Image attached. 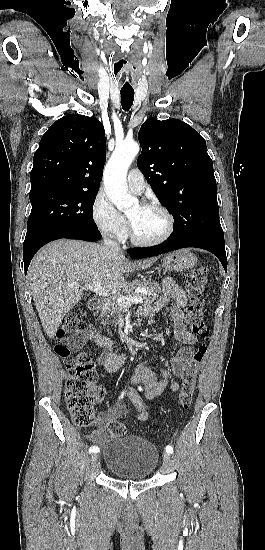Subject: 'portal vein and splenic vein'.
Masks as SVG:
<instances>
[{
    "label": "portal vein and splenic vein",
    "mask_w": 265,
    "mask_h": 550,
    "mask_svg": "<svg viewBox=\"0 0 265 550\" xmlns=\"http://www.w3.org/2000/svg\"><path fill=\"white\" fill-rule=\"evenodd\" d=\"M81 289L90 290L94 293H96L99 296H109V293L106 289L102 287V284L100 281H96L94 283H89L85 285H80ZM116 302L118 305L122 307H129L130 305L134 303H142L143 298L140 296H127V297H118L116 299Z\"/></svg>",
    "instance_id": "obj_1"
}]
</instances>
